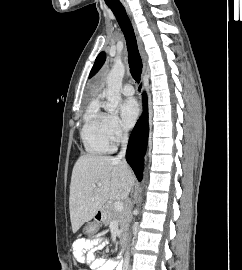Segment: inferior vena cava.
Returning a JSON list of instances; mask_svg holds the SVG:
<instances>
[{"mask_svg":"<svg viewBox=\"0 0 242 270\" xmlns=\"http://www.w3.org/2000/svg\"><path fill=\"white\" fill-rule=\"evenodd\" d=\"M122 148L120 153L117 156V159H124L125 158V153H126V148H127V143H128V132L125 130L124 135L122 137Z\"/></svg>","mask_w":242,"mask_h":270,"instance_id":"obj_1","label":"inferior vena cava"}]
</instances>
